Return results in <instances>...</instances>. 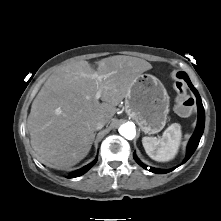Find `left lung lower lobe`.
I'll return each mask as SVG.
<instances>
[{
	"mask_svg": "<svg viewBox=\"0 0 221 221\" xmlns=\"http://www.w3.org/2000/svg\"><path fill=\"white\" fill-rule=\"evenodd\" d=\"M178 78L180 79H184L189 87L191 88V90L194 92L196 99H197V106H198V121H197V126H196V130L194 132V134L192 135L188 146H187V153H186V157L183 161V163H185L194 153V151L196 150L199 141L201 139V136L203 134V130H204V124H205V113H204V108L201 102V98L200 95L198 93V91L196 90V88L192 85L189 77L187 76L186 73L184 72H179L177 74ZM133 157L135 159V161L142 166L144 169H147V166L145 164H143L135 155V153L133 154ZM173 169H157V168H153L151 167L149 171L153 172V173H157V174H164V173H168L171 172Z\"/></svg>",
	"mask_w": 221,
	"mask_h": 221,
	"instance_id": "obj_1",
	"label": "left lung lower lobe"
}]
</instances>
